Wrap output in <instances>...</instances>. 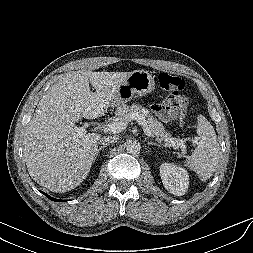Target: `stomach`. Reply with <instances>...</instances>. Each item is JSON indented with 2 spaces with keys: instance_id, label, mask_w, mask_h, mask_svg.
Listing matches in <instances>:
<instances>
[{
  "instance_id": "1",
  "label": "stomach",
  "mask_w": 253,
  "mask_h": 253,
  "mask_svg": "<svg viewBox=\"0 0 253 253\" xmlns=\"http://www.w3.org/2000/svg\"><path fill=\"white\" fill-rule=\"evenodd\" d=\"M155 88L152 75L145 70H134L119 86L112 106H119L132 100L134 95L144 96Z\"/></svg>"
}]
</instances>
